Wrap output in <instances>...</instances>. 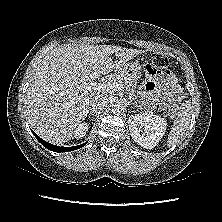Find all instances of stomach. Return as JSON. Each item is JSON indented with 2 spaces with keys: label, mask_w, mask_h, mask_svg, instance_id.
<instances>
[{
  "label": "stomach",
  "mask_w": 222,
  "mask_h": 222,
  "mask_svg": "<svg viewBox=\"0 0 222 222\" xmlns=\"http://www.w3.org/2000/svg\"><path fill=\"white\" fill-rule=\"evenodd\" d=\"M119 74L127 81H136L142 76V67L138 62L126 63Z\"/></svg>",
  "instance_id": "obj_1"
}]
</instances>
